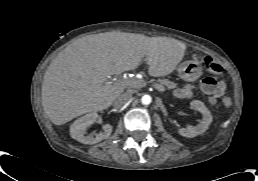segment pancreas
Segmentation results:
<instances>
[{"label": "pancreas", "mask_w": 258, "mask_h": 181, "mask_svg": "<svg viewBox=\"0 0 258 181\" xmlns=\"http://www.w3.org/2000/svg\"><path fill=\"white\" fill-rule=\"evenodd\" d=\"M143 82L146 85V82L145 81H143ZM155 84L163 86L164 88L166 87L168 90L175 89L177 87L176 83L169 81L167 79H160V80H158V83H155Z\"/></svg>", "instance_id": "1"}]
</instances>
